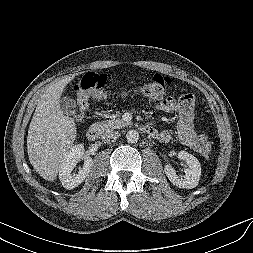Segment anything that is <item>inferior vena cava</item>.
Wrapping results in <instances>:
<instances>
[{"label":"inferior vena cava","instance_id":"1","mask_svg":"<svg viewBox=\"0 0 253 253\" xmlns=\"http://www.w3.org/2000/svg\"><path fill=\"white\" fill-rule=\"evenodd\" d=\"M120 133L118 131L108 132L102 136V140L106 143L115 141L119 138Z\"/></svg>","mask_w":253,"mask_h":253}]
</instances>
